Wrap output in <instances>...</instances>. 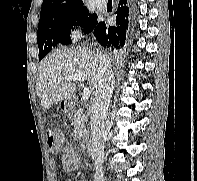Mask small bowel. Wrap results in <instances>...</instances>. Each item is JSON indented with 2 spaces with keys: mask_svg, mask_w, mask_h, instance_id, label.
I'll return each instance as SVG.
<instances>
[{
  "mask_svg": "<svg viewBox=\"0 0 197 181\" xmlns=\"http://www.w3.org/2000/svg\"><path fill=\"white\" fill-rule=\"evenodd\" d=\"M55 152V151H53ZM62 165L65 171L71 172L76 170L80 165V159L77 157L74 150L70 147H65L61 151ZM50 165L56 166L55 158H51Z\"/></svg>",
  "mask_w": 197,
  "mask_h": 181,
  "instance_id": "small-bowel-1",
  "label": "small bowel"
}]
</instances>
